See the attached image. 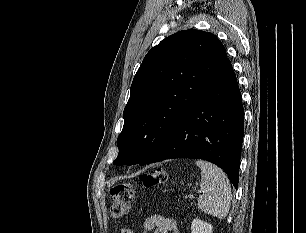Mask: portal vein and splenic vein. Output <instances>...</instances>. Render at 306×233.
<instances>
[{"label":"portal vein and splenic vein","mask_w":306,"mask_h":233,"mask_svg":"<svg viewBox=\"0 0 306 233\" xmlns=\"http://www.w3.org/2000/svg\"><path fill=\"white\" fill-rule=\"evenodd\" d=\"M198 193H201V191H198ZM191 197H194L193 195Z\"/></svg>","instance_id":"1"}]
</instances>
